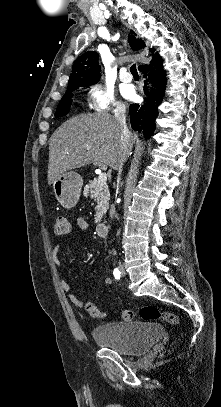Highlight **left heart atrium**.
<instances>
[{"mask_svg":"<svg viewBox=\"0 0 221 407\" xmlns=\"http://www.w3.org/2000/svg\"><path fill=\"white\" fill-rule=\"evenodd\" d=\"M124 94L129 99L134 98V90L131 87L126 88Z\"/></svg>","mask_w":221,"mask_h":407,"instance_id":"39dd6f15","label":"left heart atrium"}]
</instances>
